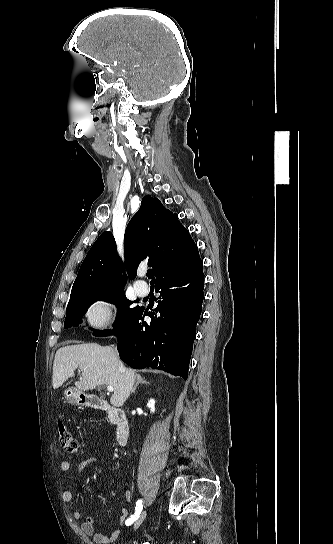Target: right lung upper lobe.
<instances>
[{"label": "right lung upper lobe", "mask_w": 333, "mask_h": 544, "mask_svg": "<svg viewBox=\"0 0 333 544\" xmlns=\"http://www.w3.org/2000/svg\"><path fill=\"white\" fill-rule=\"evenodd\" d=\"M157 198L146 195L141 207L127 225L124 235L125 266L130 278L136 277L140 262L148 260L156 282L188 271L201 263L196 244L188 231ZM110 232L95 241L85 257L73 284L70 299L94 291L123 289L126 278Z\"/></svg>", "instance_id": "right-lung-upper-lobe-1"}]
</instances>
